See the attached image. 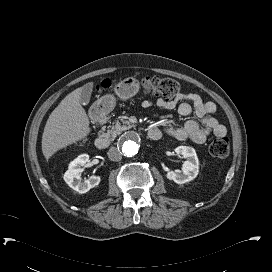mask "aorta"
I'll return each mask as SVG.
<instances>
[{"instance_id":"aorta-1","label":"aorta","mask_w":272,"mask_h":272,"mask_svg":"<svg viewBox=\"0 0 272 272\" xmlns=\"http://www.w3.org/2000/svg\"><path fill=\"white\" fill-rule=\"evenodd\" d=\"M143 147V140L139 133L128 132L120 141V148L126 157H134L140 153Z\"/></svg>"}]
</instances>
